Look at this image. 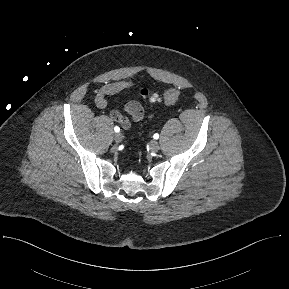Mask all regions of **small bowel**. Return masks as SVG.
I'll list each match as a JSON object with an SVG mask.
<instances>
[{
    "label": "small bowel",
    "instance_id": "obj_1",
    "mask_svg": "<svg viewBox=\"0 0 289 289\" xmlns=\"http://www.w3.org/2000/svg\"><path fill=\"white\" fill-rule=\"evenodd\" d=\"M135 83L129 80H120L102 85L95 95V104L98 108L104 109L108 106L109 97L117 95L125 90L131 89ZM123 112L130 116L131 120L138 122L144 117V108L138 101H129L123 107ZM121 110L115 109L111 111L110 117L118 123L122 128L129 129L131 120Z\"/></svg>",
    "mask_w": 289,
    "mask_h": 289
}]
</instances>
